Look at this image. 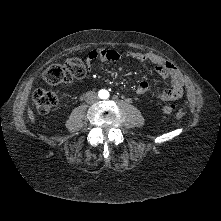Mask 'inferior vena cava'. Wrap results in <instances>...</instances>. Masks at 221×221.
Segmentation results:
<instances>
[{"label":"inferior vena cava","mask_w":221,"mask_h":221,"mask_svg":"<svg viewBox=\"0 0 221 221\" xmlns=\"http://www.w3.org/2000/svg\"><path fill=\"white\" fill-rule=\"evenodd\" d=\"M98 100V96L94 91H88L85 94V101L87 103H94Z\"/></svg>","instance_id":"inferior-vena-cava-1"}]
</instances>
